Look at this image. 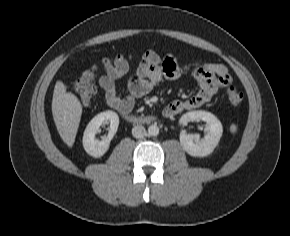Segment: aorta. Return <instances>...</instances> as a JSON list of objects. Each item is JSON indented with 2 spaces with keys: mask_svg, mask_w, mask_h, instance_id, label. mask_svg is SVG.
Wrapping results in <instances>:
<instances>
[{
  "mask_svg": "<svg viewBox=\"0 0 290 236\" xmlns=\"http://www.w3.org/2000/svg\"><path fill=\"white\" fill-rule=\"evenodd\" d=\"M148 134L150 136H157L159 134V127L156 124H152L148 127Z\"/></svg>",
  "mask_w": 290,
  "mask_h": 236,
  "instance_id": "aorta-1",
  "label": "aorta"
}]
</instances>
